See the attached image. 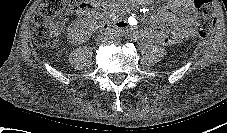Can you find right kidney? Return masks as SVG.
<instances>
[{"label": "right kidney", "instance_id": "1", "mask_svg": "<svg viewBox=\"0 0 227 133\" xmlns=\"http://www.w3.org/2000/svg\"><path fill=\"white\" fill-rule=\"evenodd\" d=\"M79 23H73L70 25V28L68 29V34L72 38H78L80 35V32L82 31L81 28H79Z\"/></svg>", "mask_w": 227, "mask_h": 133}]
</instances>
